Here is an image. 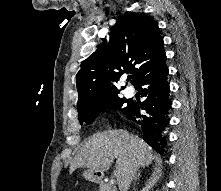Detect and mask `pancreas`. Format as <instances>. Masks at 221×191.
I'll return each mask as SVG.
<instances>
[{
  "mask_svg": "<svg viewBox=\"0 0 221 191\" xmlns=\"http://www.w3.org/2000/svg\"><path fill=\"white\" fill-rule=\"evenodd\" d=\"M99 191H116V187L110 183L101 182L99 186Z\"/></svg>",
  "mask_w": 221,
  "mask_h": 191,
  "instance_id": "1",
  "label": "pancreas"
}]
</instances>
